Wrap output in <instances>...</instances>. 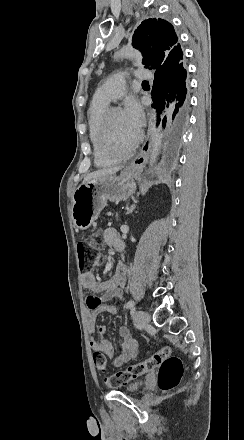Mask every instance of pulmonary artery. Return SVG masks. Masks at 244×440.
<instances>
[{
	"mask_svg": "<svg viewBox=\"0 0 244 440\" xmlns=\"http://www.w3.org/2000/svg\"><path fill=\"white\" fill-rule=\"evenodd\" d=\"M147 69H139L137 75L139 78L148 77ZM112 82H102V90H95L93 94L94 102L110 103L114 99H120L125 89L124 77L120 75H113Z\"/></svg>",
	"mask_w": 244,
	"mask_h": 440,
	"instance_id": "pulmonary-artery-1",
	"label": "pulmonary artery"
}]
</instances>
